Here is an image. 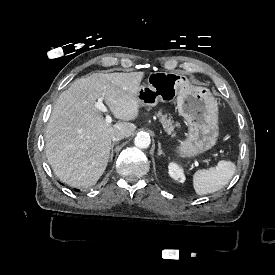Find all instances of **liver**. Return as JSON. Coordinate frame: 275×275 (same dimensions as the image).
<instances>
[{
  "instance_id": "6515ba94",
  "label": "liver",
  "mask_w": 275,
  "mask_h": 275,
  "mask_svg": "<svg viewBox=\"0 0 275 275\" xmlns=\"http://www.w3.org/2000/svg\"><path fill=\"white\" fill-rule=\"evenodd\" d=\"M144 76V72L95 73L75 80L60 95L45 133V151L61 181L89 188L101 178L114 132L121 130L128 138L137 127L134 123L106 122L96 102L104 101L116 119L136 120L141 112L137 93Z\"/></svg>"
}]
</instances>
